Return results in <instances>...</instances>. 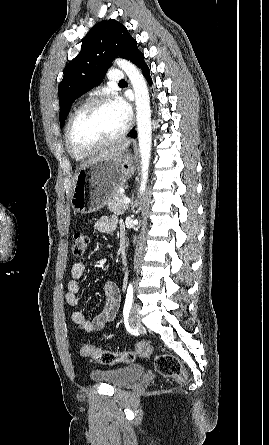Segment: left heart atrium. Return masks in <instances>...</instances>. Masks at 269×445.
Segmentation results:
<instances>
[{"label": "left heart atrium", "mask_w": 269, "mask_h": 445, "mask_svg": "<svg viewBox=\"0 0 269 445\" xmlns=\"http://www.w3.org/2000/svg\"><path fill=\"white\" fill-rule=\"evenodd\" d=\"M112 105L118 111V113L121 115L124 121L126 123L129 122L131 118V109L129 105L120 98H115L112 101Z\"/></svg>", "instance_id": "39dd6f15"}]
</instances>
